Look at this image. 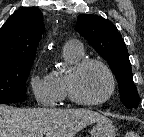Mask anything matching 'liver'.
Wrapping results in <instances>:
<instances>
[{
	"mask_svg": "<svg viewBox=\"0 0 144 137\" xmlns=\"http://www.w3.org/2000/svg\"><path fill=\"white\" fill-rule=\"evenodd\" d=\"M104 118L89 109H19L0 105V137H74Z\"/></svg>",
	"mask_w": 144,
	"mask_h": 137,
	"instance_id": "6515ba94",
	"label": "liver"
}]
</instances>
